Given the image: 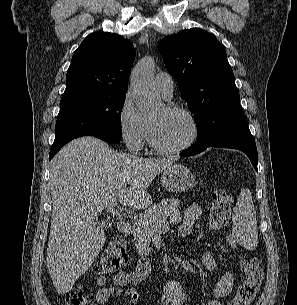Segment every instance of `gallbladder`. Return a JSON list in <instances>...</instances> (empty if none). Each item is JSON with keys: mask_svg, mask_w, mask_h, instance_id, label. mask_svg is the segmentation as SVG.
<instances>
[{"mask_svg": "<svg viewBox=\"0 0 297 305\" xmlns=\"http://www.w3.org/2000/svg\"><path fill=\"white\" fill-rule=\"evenodd\" d=\"M110 226H111V222H109V221H103V222L100 224V228L103 229V230L108 229Z\"/></svg>", "mask_w": 297, "mask_h": 305, "instance_id": "obj_1", "label": "gallbladder"}]
</instances>
